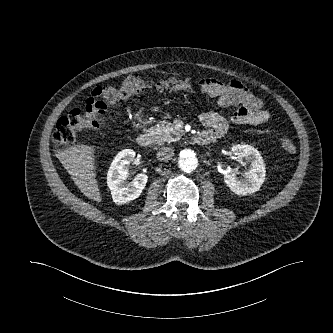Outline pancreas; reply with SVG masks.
<instances>
[{"label":"pancreas","mask_w":333,"mask_h":333,"mask_svg":"<svg viewBox=\"0 0 333 333\" xmlns=\"http://www.w3.org/2000/svg\"><path fill=\"white\" fill-rule=\"evenodd\" d=\"M152 130L156 134L158 143L176 142L184 135L181 129L168 122H163L161 125L155 126Z\"/></svg>","instance_id":"pancreas-1"}]
</instances>
